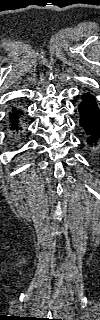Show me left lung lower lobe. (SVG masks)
<instances>
[{"instance_id": "left-lung-lower-lobe-1", "label": "left lung lower lobe", "mask_w": 100, "mask_h": 320, "mask_svg": "<svg viewBox=\"0 0 100 320\" xmlns=\"http://www.w3.org/2000/svg\"><path fill=\"white\" fill-rule=\"evenodd\" d=\"M80 113L79 124L83 129L87 145L92 152L100 149V108L95 98L90 94L82 95V102L78 106Z\"/></svg>"}]
</instances>
